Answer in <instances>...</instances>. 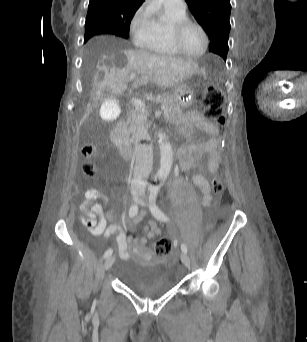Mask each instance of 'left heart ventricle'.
<instances>
[{"instance_id": "b2bd125f", "label": "left heart ventricle", "mask_w": 307, "mask_h": 342, "mask_svg": "<svg viewBox=\"0 0 307 342\" xmlns=\"http://www.w3.org/2000/svg\"><path fill=\"white\" fill-rule=\"evenodd\" d=\"M183 45L185 50L193 55H199L204 48V35L197 24H191L187 27L183 35Z\"/></svg>"}]
</instances>
